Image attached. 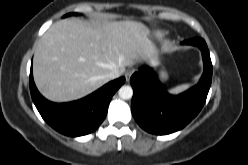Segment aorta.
<instances>
[{"label":"aorta","instance_id":"obj_1","mask_svg":"<svg viewBox=\"0 0 248 165\" xmlns=\"http://www.w3.org/2000/svg\"><path fill=\"white\" fill-rule=\"evenodd\" d=\"M118 94H119V97L121 99L127 100V99L132 98V96H133V89H132V87H130L128 85H125V86H122L119 89Z\"/></svg>","mask_w":248,"mask_h":165}]
</instances>
